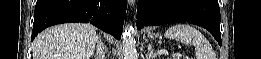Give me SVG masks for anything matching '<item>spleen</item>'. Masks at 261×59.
Segmentation results:
<instances>
[{"label": "spleen", "mask_w": 261, "mask_h": 59, "mask_svg": "<svg viewBox=\"0 0 261 59\" xmlns=\"http://www.w3.org/2000/svg\"><path fill=\"white\" fill-rule=\"evenodd\" d=\"M165 37L195 47L197 59H216L215 53L204 35L189 24H177L165 32Z\"/></svg>", "instance_id": "3e777b00"}]
</instances>
